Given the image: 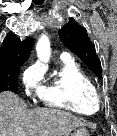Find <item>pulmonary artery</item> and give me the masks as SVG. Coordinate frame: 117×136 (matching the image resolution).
<instances>
[{"label": "pulmonary artery", "instance_id": "obj_1", "mask_svg": "<svg viewBox=\"0 0 117 136\" xmlns=\"http://www.w3.org/2000/svg\"><path fill=\"white\" fill-rule=\"evenodd\" d=\"M61 58H62L63 60H69V59H70V54L67 53V52H63V53L61 54Z\"/></svg>", "mask_w": 117, "mask_h": 136}]
</instances>
